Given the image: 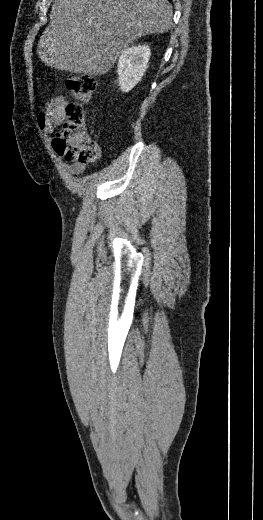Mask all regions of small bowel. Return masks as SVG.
<instances>
[{"mask_svg": "<svg viewBox=\"0 0 263 520\" xmlns=\"http://www.w3.org/2000/svg\"><path fill=\"white\" fill-rule=\"evenodd\" d=\"M67 105L68 101L63 96H56L47 101L44 110L37 116V123L46 134L52 133L54 128L65 120ZM61 163L72 174H80L86 168L85 163L68 164L65 161H61Z\"/></svg>", "mask_w": 263, "mask_h": 520, "instance_id": "obj_1", "label": "small bowel"}]
</instances>
